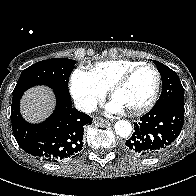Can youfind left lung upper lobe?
I'll return each instance as SVG.
<instances>
[{"label": "left lung upper lobe", "mask_w": 196, "mask_h": 196, "mask_svg": "<svg viewBox=\"0 0 196 196\" xmlns=\"http://www.w3.org/2000/svg\"><path fill=\"white\" fill-rule=\"evenodd\" d=\"M153 62L162 78V93L154 106L166 103L184 105V89L176 72L158 61Z\"/></svg>", "instance_id": "1"}]
</instances>
